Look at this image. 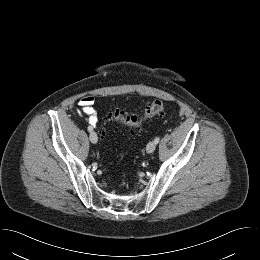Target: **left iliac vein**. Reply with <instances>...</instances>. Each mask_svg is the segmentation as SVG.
<instances>
[{
    "label": "left iliac vein",
    "mask_w": 260,
    "mask_h": 260,
    "mask_svg": "<svg viewBox=\"0 0 260 260\" xmlns=\"http://www.w3.org/2000/svg\"><path fill=\"white\" fill-rule=\"evenodd\" d=\"M156 148V143L154 141H151L147 144L146 151L147 153H152Z\"/></svg>",
    "instance_id": "1"
}]
</instances>
